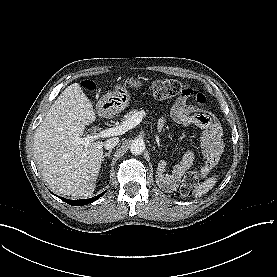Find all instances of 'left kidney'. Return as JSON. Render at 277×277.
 <instances>
[{
  "mask_svg": "<svg viewBox=\"0 0 277 277\" xmlns=\"http://www.w3.org/2000/svg\"><path fill=\"white\" fill-rule=\"evenodd\" d=\"M166 162L164 160H161L158 164L157 172H156V182L160 184V186L164 189H170L173 190L175 185L177 184V178H180V176L177 175H168L164 174L165 171Z\"/></svg>",
  "mask_w": 277,
  "mask_h": 277,
  "instance_id": "5707ae66",
  "label": "left kidney"
}]
</instances>
